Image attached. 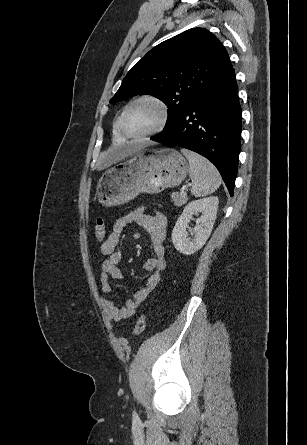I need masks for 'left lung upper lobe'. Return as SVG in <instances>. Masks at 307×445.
Returning a JSON list of instances; mask_svg holds the SVG:
<instances>
[{
	"instance_id": "left-lung-upper-lobe-1",
	"label": "left lung upper lobe",
	"mask_w": 307,
	"mask_h": 445,
	"mask_svg": "<svg viewBox=\"0 0 307 445\" xmlns=\"http://www.w3.org/2000/svg\"><path fill=\"white\" fill-rule=\"evenodd\" d=\"M221 42L204 28H192L150 50L128 72L109 103L149 94L162 100L169 117L164 130L231 68Z\"/></svg>"
}]
</instances>
